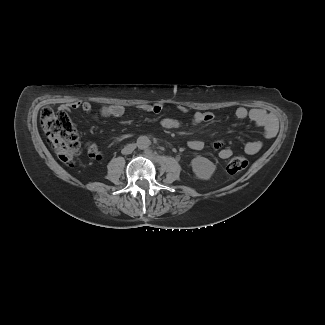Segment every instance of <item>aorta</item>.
<instances>
[{
	"mask_svg": "<svg viewBox=\"0 0 325 325\" xmlns=\"http://www.w3.org/2000/svg\"><path fill=\"white\" fill-rule=\"evenodd\" d=\"M136 145L139 149L144 150L151 145V141L147 136H140L137 139Z\"/></svg>",
	"mask_w": 325,
	"mask_h": 325,
	"instance_id": "762f6f07",
	"label": "aorta"
}]
</instances>
